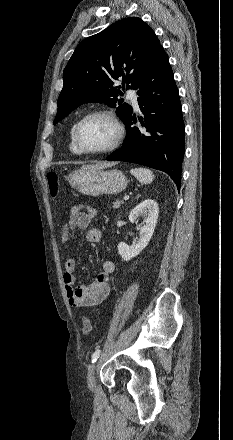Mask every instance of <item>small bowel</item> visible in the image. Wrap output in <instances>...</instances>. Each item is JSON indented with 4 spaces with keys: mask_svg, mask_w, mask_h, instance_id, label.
Listing matches in <instances>:
<instances>
[{
    "mask_svg": "<svg viewBox=\"0 0 233 440\" xmlns=\"http://www.w3.org/2000/svg\"><path fill=\"white\" fill-rule=\"evenodd\" d=\"M98 216V211L90 206L77 205L70 211L68 221L63 226L61 240L67 243L71 233L76 229H86L90 221ZM86 242L98 243L101 240V231L97 228H90L85 234ZM76 260L68 258L64 264L63 281L66 296L69 304L75 308L91 307L104 302L110 292L109 277L114 271V263L106 260L102 263L101 270L96 274L94 280L85 285L74 286Z\"/></svg>",
    "mask_w": 233,
    "mask_h": 440,
    "instance_id": "1",
    "label": "small bowel"
}]
</instances>
